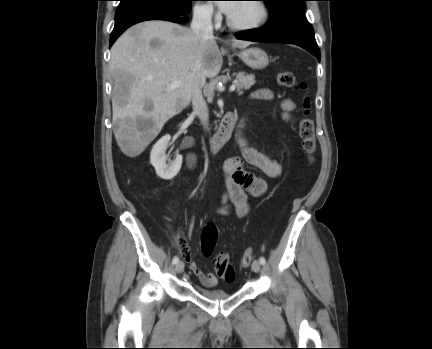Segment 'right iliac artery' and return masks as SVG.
Here are the masks:
<instances>
[{"label": "right iliac artery", "mask_w": 432, "mask_h": 349, "mask_svg": "<svg viewBox=\"0 0 432 349\" xmlns=\"http://www.w3.org/2000/svg\"><path fill=\"white\" fill-rule=\"evenodd\" d=\"M178 261H179L178 256H175V257L173 258V260H172V263H173V264H177Z\"/></svg>", "instance_id": "right-iliac-artery-1"}]
</instances>
